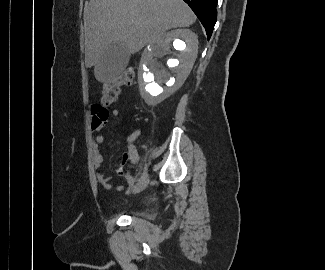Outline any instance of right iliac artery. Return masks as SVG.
<instances>
[{"label":"right iliac artery","mask_w":325,"mask_h":270,"mask_svg":"<svg viewBox=\"0 0 325 270\" xmlns=\"http://www.w3.org/2000/svg\"><path fill=\"white\" fill-rule=\"evenodd\" d=\"M147 177V169L144 168L142 176L139 178L138 182L144 180Z\"/></svg>","instance_id":"right-iliac-artery-1"}]
</instances>
